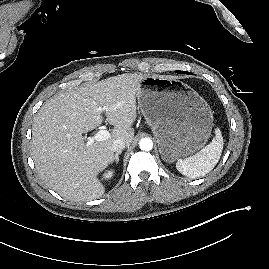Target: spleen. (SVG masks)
Masks as SVG:
<instances>
[{"mask_svg":"<svg viewBox=\"0 0 269 269\" xmlns=\"http://www.w3.org/2000/svg\"><path fill=\"white\" fill-rule=\"evenodd\" d=\"M223 150V137L219 128L215 129L212 141L196 154L180 159L177 170L189 178H197L209 173L218 163Z\"/></svg>","mask_w":269,"mask_h":269,"instance_id":"1","label":"spleen"}]
</instances>
